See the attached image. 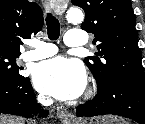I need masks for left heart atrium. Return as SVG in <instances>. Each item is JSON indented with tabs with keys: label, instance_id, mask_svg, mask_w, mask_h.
<instances>
[{
	"label": "left heart atrium",
	"instance_id": "obj_1",
	"mask_svg": "<svg viewBox=\"0 0 145 124\" xmlns=\"http://www.w3.org/2000/svg\"><path fill=\"white\" fill-rule=\"evenodd\" d=\"M36 88L60 100L79 97L86 86L83 66L61 56L38 64L33 71Z\"/></svg>",
	"mask_w": 145,
	"mask_h": 124
}]
</instances>
